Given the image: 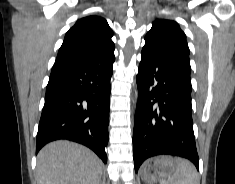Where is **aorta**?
I'll return each instance as SVG.
<instances>
[{
    "instance_id": "obj_1",
    "label": "aorta",
    "mask_w": 235,
    "mask_h": 184,
    "mask_svg": "<svg viewBox=\"0 0 235 184\" xmlns=\"http://www.w3.org/2000/svg\"><path fill=\"white\" fill-rule=\"evenodd\" d=\"M136 98H138V92H136Z\"/></svg>"
}]
</instances>
